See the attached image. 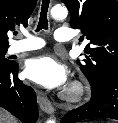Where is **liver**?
<instances>
[{
  "instance_id": "liver-1",
  "label": "liver",
  "mask_w": 118,
  "mask_h": 123,
  "mask_svg": "<svg viewBox=\"0 0 118 123\" xmlns=\"http://www.w3.org/2000/svg\"><path fill=\"white\" fill-rule=\"evenodd\" d=\"M0 123H17V120L9 112L0 107Z\"/></svg>"
}]
</instances>
